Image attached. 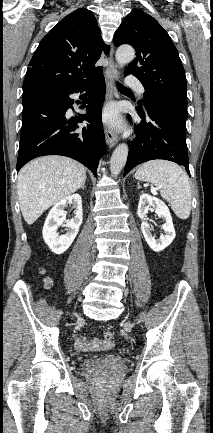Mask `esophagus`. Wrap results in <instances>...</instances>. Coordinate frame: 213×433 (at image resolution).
<instances>
[{
  "label": "esophagus",
  "instance_id": "34e87169",
  "mask_svg": "<svg viewBox=\"0 0 213 433\" xmlns=\"http://www.w3.org/2000/svg\"><path fill=\"white\" fill-rule=\"evenodd\" d=\"M114 48L112 46L110 57H109V66L106 71V98L107 100H111L114 96H116L115 89V79L118 76L117 65L115 64L114 58ZM105 137L107 144L110 147H113L118 142V135L113 131L110 127H105Z\"/></svg>",
  "mask_w": 213,
  "mask_h": 433
}]
</instances>
